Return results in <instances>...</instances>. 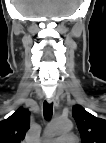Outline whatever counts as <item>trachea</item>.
Segmentation results:
<instances>
[{"label": "trachea", "mask_w": 106, "mask_h": 143, "mask_svg": "<svg viewBox=\"0 0 106 143\" xmlns=\"http://www.w3.org/2000/svg\"><path fill=\"white\" fill-rule=\"evenodd\" d=\"M53 114V103H47L46 101L43 104V115L44 118L49 121Z\"/></svg>", "instance_id": "1"}]
</instances>
